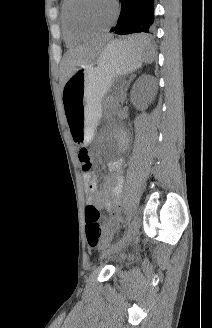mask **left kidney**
<instances>
[{
  "instance_id": "obj_1",
  "label": "left kidney",
  "mask_w": 212,
  "mask_h": 328,
  "mask_svg": "<svg viewBox=\"0 0 212 328\" xmlns=\"http://www.w3.org/2000/svg\"><path fill=\"white\" fill-rule=\"evenodd\" d=\"M144 76L140 77L136 84H135V88L132 90V96H131V101L133 102L134 105H138L139 104V101L137 100V98L135 97V93H136V86H139L140 84H142V82L144 81ZM155 89H156V86H155V81L153 79H149L148 80V98L147 100L149 102L152 101V99L154 98L155 96Z\"/></svg>"
}]
</instances>
